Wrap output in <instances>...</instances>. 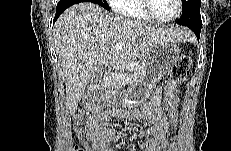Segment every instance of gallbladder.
<instances>
[{
	"label": "gallbladder",
	"mask_w": 231,
	"mask_h": 151,
	"mask_svg": "<svg viewBox=\"0 0 231 151\" xmlns=\"http://www.w3.org/2000/svg\"><path fill=\"white\" fill-rule=\"evenodd\" d=\"M100 81V69H96L94 76L91 80V84L98 83ZM86 96H91L90 91H86L85 93Z\"/></svg>",
	"instance_id": "obj_1"
}]
</instances>
